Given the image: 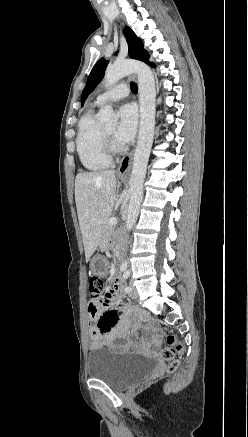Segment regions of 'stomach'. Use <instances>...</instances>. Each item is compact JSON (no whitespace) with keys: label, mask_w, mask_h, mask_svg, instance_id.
<instances>
[{"label":"stomach","mask_w":248,"mask_h":437,"mask_svg":"<svg viewBox=\"0 0 248 437\" xmlns=\"http://www.w3.org/2000/svg\"><path fill=\"white\" fill-rule=\"evenodd\" d=\"M90 272L98 273V276H101V273L107 272V265L101 255H96L92 258L90 262Z\"/></svg>","instance_id":"stomach-1"}]
</instances>
